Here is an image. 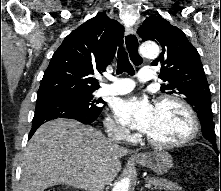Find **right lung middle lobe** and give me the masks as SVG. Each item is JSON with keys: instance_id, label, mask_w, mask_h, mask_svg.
<instances>
[{"instance_id": "obj_1", "label": "right lung middle lobe", "mask_w": 221, "mask_h": 191, "mask_svg": "<svg viewBox=\"0 0 221 191\" xmlns=\"http://www.w3.org/2000/svg\"><path fill=\"white\" fill-rule=\"evenodd\" d=\"M93 92H65L60 94L74 104L78 110L86 115H99L105 102L101 99L94 100Z\"/></svg>"}]
</instances>
